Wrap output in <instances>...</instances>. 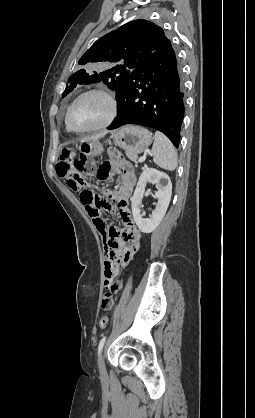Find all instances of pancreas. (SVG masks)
Segmentation results:
<instances>
[{"label":"pancreas","instance_id":"pancreas-1","mask_svg":"<svg viewBox=\"0 0 255 418\" xmlns=\"http://www.w3.org/2000/svg\"><path fill=\"white\" fill-rule=\"evenodd\" d=\"M126 156L131 160V161H134V162H136L137 161V155H135V154H132V153H129V152H126Z\"/></svg>","mask_w":255,"mask_h":418}]
</instances>
